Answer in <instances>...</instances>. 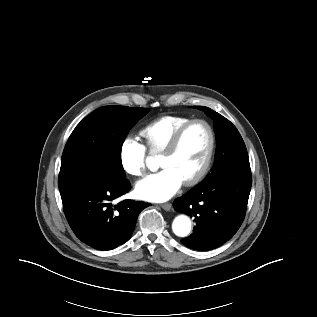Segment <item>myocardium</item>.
<instances>
[{
    "label": "myocardium",
    "instance_id": "1",
    "mask_svg": "<svg viewBox=\"0 0 317 317\" xmlns=\"http://www.w3.org/2000/svg\"><path fill=\"white\" fill-rule=\"evenodd\" d=\"M195 124H202L206 127L209 133V147L205 159L199 170L193 176L183 181L186 186H193L200 182L205 177L210 168L216 145L215 133L210 123L204 119H192L188 121L175 132V134L172 136L165 149L161 152L162 156L173 155L177 151L184 134L190 127H192Z\"/></svg>",
    "mask_w": 317,
    "mask_h": 317
}]
</instances>
